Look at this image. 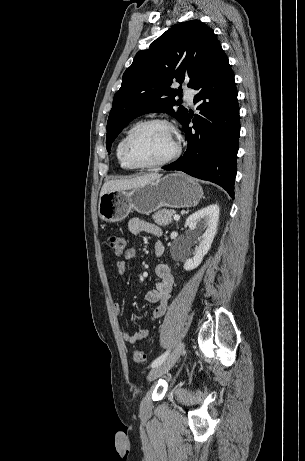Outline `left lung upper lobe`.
<instances>
[{
	"instance_id": "left-lung-upper-lobe-1",
	"label": "left lung upper lobe",
	"mask_w": 305,
	"mask_h": 461,
	"mask_svg": "<svg viewBox=\"0 0 305 461\" xmlns=\"http://www.w3.org/2000/svg\"><path fill=\"white\" fill-rule=\"evenodd\" d=\"M222 47L213 30L199 20L178 24L138 52L122 77L107 122L106 147L134 118L152 112L170 114L180 123L188 114L174 97L173 80L194 88L216 61Z\"/></svg>"
}]
</instances>
